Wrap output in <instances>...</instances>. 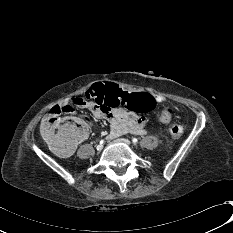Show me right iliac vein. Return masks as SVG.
I'll return each instance as SVG.
<instances>
[{
    "label": "right iliac vein",
    "mask_w": 233,
    "mask_h": 233,
    "mask_svg": "<svg viewBox=\"0 0 233 233\" xmlns=\"http://www.w3.org/2000/svg\"><path fill=\"white\" fill-rule=\"evenodd\" d=\"M96 149L98 150V151H101L102 149H103V145H97V147H96Z\"/></svg>",
    "instance_id": "right-iliac-vein-1"
}]
</instances>
